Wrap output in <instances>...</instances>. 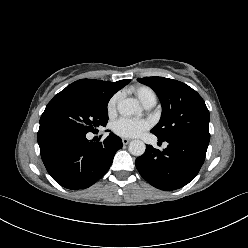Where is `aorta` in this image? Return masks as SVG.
<instances>
[{"label": "aorta", "instance_id": "aorta-1", "mask_svg": "<svg viewBox=\"0 0 248 248\" xmlns=\"http://www.w3.org/2000/svg\"><path fill=\"white\" fill-rule=\"evenodd\" d=\"M117 109L119 113L123 116H131L134 114H139L141 108L139 102L133 98H127L118 103ZM146 150V145L141 140H133L129 144V151L134 156H141Z\"/></svg>", "mask_w": 248, "mask_h": 248}]
</instances>
